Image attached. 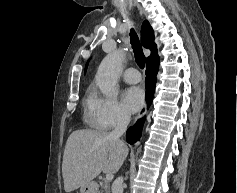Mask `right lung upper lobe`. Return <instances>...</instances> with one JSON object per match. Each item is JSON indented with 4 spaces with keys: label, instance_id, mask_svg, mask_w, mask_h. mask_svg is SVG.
I'll return each instance as SVG.
<instances>
[{
    "label": "right lung upper lobe",
    "instance_id": "obj_1",
    "mask_svg": "<svg viewBox=\"0 0 237 193\" xmlns=\"http://www.w3.org/2000/svg\"><path fill=\"white\" fill-rule=\"evenodd\" d=\"M141 42L144 47L149 48L151 50V55L147 58V62L159 57L157 52V46L154 43V32L147 20H145L142 24Z\"/></svg>",
    "mask_w": 237,
    "mask_h": 193
}]
</instances>
